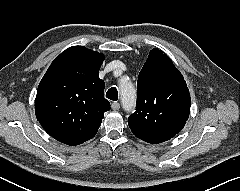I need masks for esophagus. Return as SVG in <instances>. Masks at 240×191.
Wrapping results in <instances>:
<instances>
[{"label": "esophagus", "mask_w": 240, "mask_h": 191, "mask_svg": "<svg viewBox=\"0 0 240 191\" xmlns=\"http://www.w3.org/2000/svg\"><path fill=\"white\" fill-rule=\"evenodd\" d=\"M111 107L113 110H119L120 109V104L118 102H113L111 104Z\"/></svg>", "instance_id": "esophagus-1"}]
</instances>
